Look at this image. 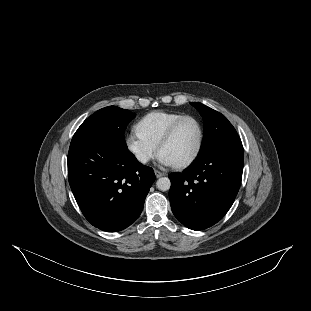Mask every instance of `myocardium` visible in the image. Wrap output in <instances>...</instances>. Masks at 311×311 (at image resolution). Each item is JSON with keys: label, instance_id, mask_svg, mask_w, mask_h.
Segmentation results:
<instances>
[{"label": "myocardium", "instance_id": "f54148a6", "mask_svg": "<svg viewBox=\"0 0 311 311\" xmlns=\"http://www.w3.org/2000/svg\"><path fill=\"white\" fill-rule=\"evenodd\" d=\"M189 118H193L199 123L200 131H201L200 141H199L198 148H197L195 154L192 156V158H190L189 160H187L183 163L173 165L177 169L188 168V167L192 166L193 164H195L198 161V159L200 158V156L203 152V149H204V145H205V141H206V135H207L206 126H205L203 120L195 114H186V115L182 116L180 119H178L171 126V128L163 136V138L161 139V141L159 142V144L157 146V152L159 155H161V151L163 150V148H165L169 143H171L173 141V139H174L178 129L182 125V123Z\"/></svg>", "mask_w": 311, "mask_h": 311}]
</instances>
